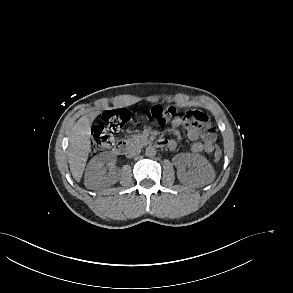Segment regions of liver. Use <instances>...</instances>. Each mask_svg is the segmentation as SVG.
I'll return each mask as SVG.
<instances>
[{"label":"liver","instance_id":"6515ba94","mask_svg":"<svg viewBox=\"0 0 293 293\" xmlns=\"http://www.w3.org/2000/svg\"><path fill=\"white\" fill-rule=\"evenodd\" d=\"M93 119V114L82 116L72 127L70 133L67 155L72 176L77 182H80L82 178L90 152L91 125Z\"/></svg>","mask_w":293,"mask_h":293}]
</instances>
